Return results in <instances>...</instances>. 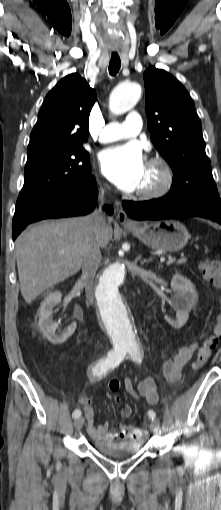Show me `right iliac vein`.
Instances as JSON below:
<instances>
[{"mask_svg":"<svg viewBox=\"0 0 221 510\" xmlns=\"http://www.w3.org/2000/svg\"><path fill=\"white\" fill-rule=\"evenodd\" d=\"M84 424V418L83 417H78L75 419L74 421V427L75 429H80Z\"/></svg>","mask_w":221,"mask_h":510,"instance_id":"63e3f726","label":"right iliac vein"}]
</instances>
